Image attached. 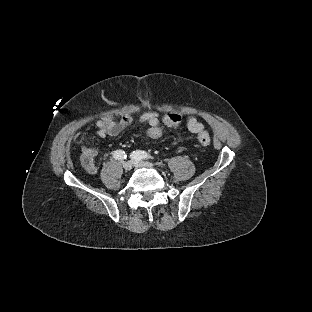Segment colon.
<instances>
[{"instance_id": "1", "label": "colon", "mask_w": 312, "mask_h": 312, "mask_svg": "<svg viewBox=\"0 0 312 312\" xmlns=\"http://www.w3.org/2000/svg\"><path fill=\"white\" fill-rule=\"evenodd\" d=\"M165 123L168 126H175V125H178L180 123V118L175 113H168L165 116ZM161 135H162V132L158 128L153 129L150 133L151 138L154 140L159 139L161 137ZM199 142L202 146L207 147L211 143V138L208 134L202 133L199 136Z\"/></svg>"}]
</instances>
